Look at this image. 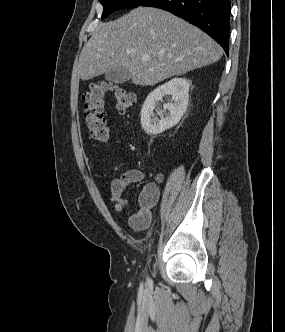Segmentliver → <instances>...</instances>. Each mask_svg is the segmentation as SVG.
I'll list each match as a JSON object with an SVG mask.
<instances>
[{"label":"liver","mask_w":285,"mask_h":332,"mask_svg":"<svg viewBox=\"0 0 285 332\" xmlns=\"http://www.w3.org/2000/svg\"><path fill=\"white\" fill-rule=\"evenodd\" d=\"M222 54L221 46L194 25L140 6L97 25L81 51L78 73L86 81L123 67L134 84L150 86L215 63ZM144 56L149 60L143 61Z\"/></svg>","instance_id":"obj_1"}]
</instances>
